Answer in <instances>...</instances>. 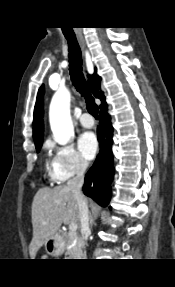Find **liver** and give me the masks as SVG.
I'll return each instance as SVG.
<instances>
[{
    "label": "liver",
    "mask_w": 175,
    "mask_h": 287,
    "mask_svg": "<svg viewBox=\"0 0 175 287\" xmlns=\"http://www.w3.org/2000/svg\"><path fill=\"white\" fill-rule=\"evenodd\" d=\"M79 208L73 192L65 185L41 188L32 202L33 237L29 246L31 259L61 225L78 223Z\"/></svg>",
    "instance_id": "obj_1"
}]
</instances>
